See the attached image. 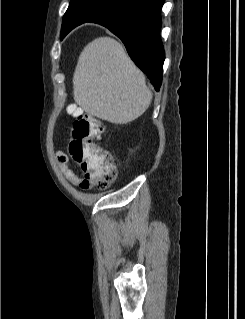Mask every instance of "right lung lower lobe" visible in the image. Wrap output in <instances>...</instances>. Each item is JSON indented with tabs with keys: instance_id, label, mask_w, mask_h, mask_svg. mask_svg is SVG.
<instances>
[{
	"instance_id": "98d812e1",
	"label": "right lung lower lobe",
	"mask_w": 245,
	"mask_h": 319,
	"mask_svg": "<svg viewBox=\"0 0 245 319\" xmlns=\"http://www.w3.org/2000/svg\"><path fill=\"white\" fill-rule=\"evenodd\" d=\"M164 0H128L89 22L111 30L124 43L135 64L159 91L165 52L160 38Z\"/></svg>"
}]
</instances>
